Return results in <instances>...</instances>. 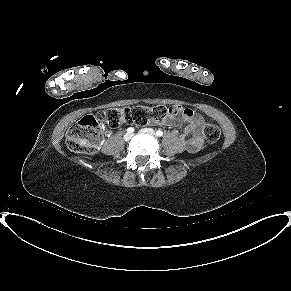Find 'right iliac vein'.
I'll use <instances>...</instances> for the list:
<instances>
[{"mask_svg": "<svg viewBox=\"0 0 291 291\" xmlns=\"http://www.w3.org/2000/svg\"><path fill=\"white\" fill-rule=\"evenodd\" d=\"M132 137H133V134H131V133H126V134L124 135V140H125L126 142H128V141L131 140Z\"/></svg>", "mask_w": 291, "mask_h": 291, "instance_id": "63e3f726", "label": "right iliac vein"}]
</instances>
